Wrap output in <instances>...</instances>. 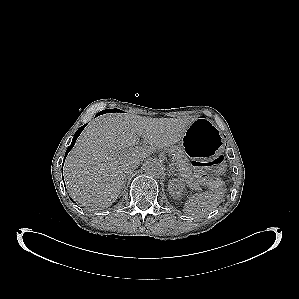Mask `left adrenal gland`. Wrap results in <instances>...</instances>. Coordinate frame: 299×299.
Wrapping results in <instances>:
<instances>
[{"instance_id":"obj_1","label":"left adrenal gland","mask_w":299,"mask_h":299,"mask_svg":"<svg viewBox=\"0 0 299 299\" xmlns=\"http://www.w3.org/2000/svg\"><path fill=\"white\" fill-rule=\"evenodd\" d=\"M169 175H177V173L174 172L172 167H170Z\"/></svg>"}]
</instances>
